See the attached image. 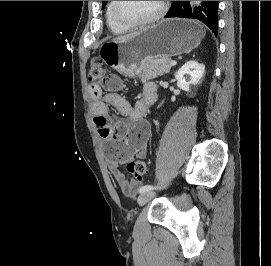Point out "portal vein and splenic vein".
Here are the masks:
<instances>
[{
  "instance_id": "obj_1",
  "label": "portal vein and splenic vein",
  "mask_w": 271,
  "mask_h": 266,
  "mask_svg": "<svg viewBox=\"0 0 271 266\" xmlns=\"http://www.w3.org/2000/svg\"><path fill=\"white\" fill-rule=\"evenodd\" d=\"M176 64H177V62L175 60L170 61L171 66H175Z\"/></svg>"
}]
</instances>
